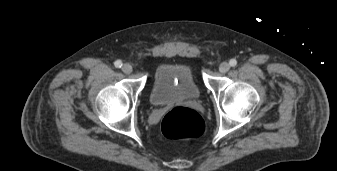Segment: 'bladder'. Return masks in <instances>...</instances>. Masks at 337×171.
Returning <instances> with one entry per match:
<instances>
[{
	"instance_id": "bladder-1",
	"label": "bladder",
	"mask_w": 337,
	"mask_h": 171,
	"mask_svg": "<svg viewBox=\"0 0 337 171\" xmlns=\"http://www.w3.org/2000/svg\"><path fill=\"white\" fill-rule=\"evenodd\" d=\"M200 90L187 64L166 63L157 67L150 91V101L155 106L197 101Z\"/></svg>"
}]
</instances>
